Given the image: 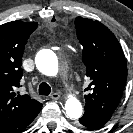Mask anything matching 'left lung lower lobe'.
<instances>
[{"label":"left lung lower lobe","mask_w":133,"mask_h":133,"mask_svg":"<svg viewBox=\"0 0 133 133\" xmlns=\"http://www.w3.org/2000/svg\"><path fill=\"white\" fill-rule=\"evenodd\" d=\"M110 118L111 115H103L90 110H85L84 115L79 119L78 125L80 127L96 130L106 124Z\"/></svg>","instance_id":"1"}]
</instances>
